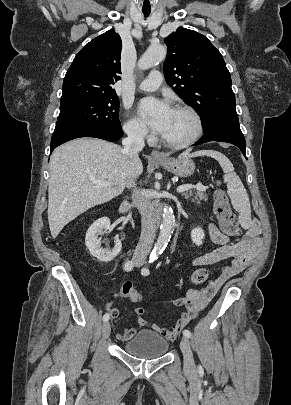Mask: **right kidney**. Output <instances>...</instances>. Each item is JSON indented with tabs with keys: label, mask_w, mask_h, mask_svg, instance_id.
Returning <instances> with one entry per match:
<instances>
[{
	"label": "right kidney",
	"mask_w": 291,
	"mask_h": 405,
	"mask_svg": "<svg viewBox=\"0 0 291 405\" xmlns=\"http://www.w3.org/2000/svg\"><path fill=\"white\" fill-rule=\"evenodd\" d=\"M109 227V218H100L89 227L85 237V245L89 249V252L101 262L113 260L120 253L122 248V243L118 237L114 240L115 246L113 249H103L101 247V241L98 235L102 234L103 230L109 229Z\"/></svg>",
	"instance_id": "1"
}]
</instances>
